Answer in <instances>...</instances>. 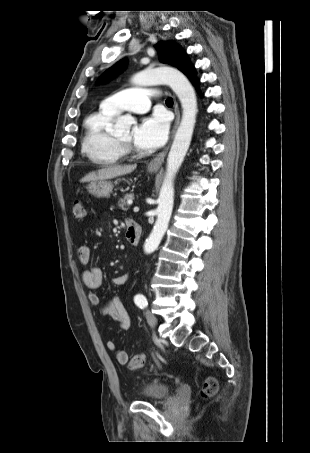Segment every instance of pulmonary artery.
I'll return each mask as SVG.
<instances>
[{"label": "pulmonary artery", "mask_w": 310, "mask_h": 453, "mask_svg": "<svg viewBox=\"0 0 310 453\" xmlns=\"http://www.w3.org/2000/svg\"><path fill=\"white\" fill-rule=\"evenodd\" d=\"M158 93L157 89H125L107 97L101 106L113 113L127 110L141 114L148 111L151 96Z\"/></svg>", "instance_id": "e3ab8cb5"}]
</instances>
